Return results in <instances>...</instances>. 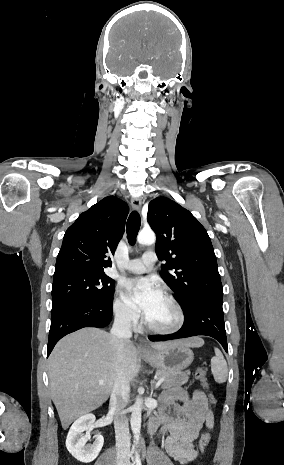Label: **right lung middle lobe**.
<instances>
[{"label": "right lung middle lobe", "mask_w": 284, "mask_h": 465, "mask_svg": "<svg viewBox=\"0 0 284 465\" xmlns=\"http://www.w3.org/2000/svg\"><path fill=\"white\" fill-rule=\"evenodd\" d=\"M114 280L106 274H73L53 279L52 310L72 300L107 301L114 295Z\"/></svg>", "instance_id": "dd1d6c3e"}]
</instances>
